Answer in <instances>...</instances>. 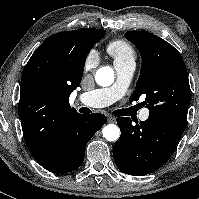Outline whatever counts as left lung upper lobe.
Wrapping results in <instances>:
<instances>
[{
	"label": "left lung upper lobe",
	"mask_w": 199,
	"mask_h": 199,
	"mask_svg": "<svg viewBox=\"0 0 199 199\" xmlns=\"http://www.w3.org/2000/svg\"><path fill=\"white\" fill-rule=\"evenodd\" d=\"M125 37L139 50L142 65L130 100L145 96L149 115H161L186 125L191 99L187 69L180 53L147 31H129Z\"/></svg>",
	"instance_id": "5c2ea615"
}]
</instances>
